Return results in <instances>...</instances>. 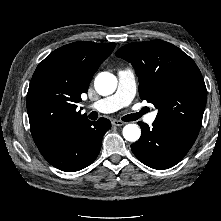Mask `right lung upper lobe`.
Listing matches in <instances>:
<instances>
[{
    "label": "right lung upper lobe",
    "mask_w": 221,
    "mask_h": 221,
    "mask_svg": "<svg viewBox=\"0 0 221 221\" xmlns=\"http://www.w3.org/2000/svg\"><path fill=\"white\" fill-rule=\"evenodd\" d=\"M115 43L80 41L60 47L36 68L27 94V112L34 142L88 120L77 111L81 94Z\"/></svg>",
    "instance_id": "1"
}]
</instances>
